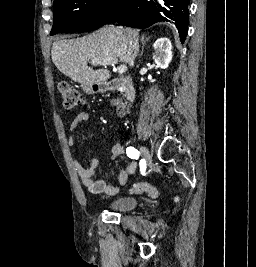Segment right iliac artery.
Instances as JSON below:
<instances>
[{
	"label": "right iliac artery",
	"instance_id": "obj_1",
	"mask_svg": "<svg viewBox=\"0 0 256 267\" xmlns=\"http://www.w3.org/2000/svg\"><path fill=\"white\" fill-rule=\"evenodd\" d=\"M126 154L131 159H138L139 155H140V152L137 149H135L134 147H128L126 149Z\"/></svg>",
	"mask_w": 256,
	"mask_h": 267
}]
</instances>
